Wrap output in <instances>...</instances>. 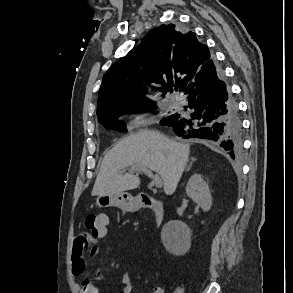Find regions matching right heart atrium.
<instances>
[{
	"mask_svg": "<svg viewBox=\"0 0 293 293\" xmlns=\"http://www.w3.org/2000/svg\"><path fill=\"white\" fill-rule=\"evenodd\" d=\"M148 123H149V120L145 116H137L131 122L132 126L136 128L145 127L148 125Z\"/></svg>",
	"mask_w": 293,
	"mask_h": 293,
	"instance_id": "d8ad5b80",
	"label": "right heart atrium"
}]
</instances>
